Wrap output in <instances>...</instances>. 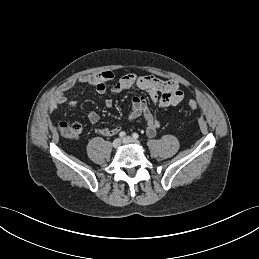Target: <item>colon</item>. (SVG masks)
Listing matches in <instances>:
<instances>
[{
	"label": "colon",
	"instance_id": "obj_1",
	"mask_svg": "<svg viewBox=\"0 0 259 259\" xmlns=\"http://www.w3.org/2000/svg\"><path fill=\"white\" fill-rule=\"evenodd\" d=\"M188 108L191 111L196 110L198 108L197 102L195 100H190ZM58 129L62 136L66 138H74L80 133L81 126L78 123H61L59 124Z\"/></svg>",
	"mask_w": 259,
	"mask_h": 259
}]
</instances>
